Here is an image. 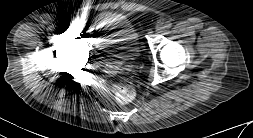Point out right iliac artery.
Listing matches in <instances>:
<instances>
[{"mask_svg":"<svg viewBox=\"0 0 253 138\" xmlns=\"http://www.w3.org/2000/svg\"><path fill=\"white\" fill-rule=\"evenodd\" d=\"M73 24H75L73 21H68V22L66 23V26H67L68 28H71V26H72Z\"/></svg>","mask_w":253,"mask_h":138,"instance_id":"obj_1","label":"right iliac artery"}]
</instances>
